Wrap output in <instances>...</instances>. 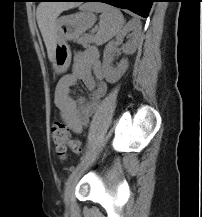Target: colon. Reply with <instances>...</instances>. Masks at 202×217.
<instances>
[{
	"instance_id": "obj_1",
	"label": "colon",
	"mask_w": 202,
	"mask_h": 217,
	"mask_svg": "<svg viewBox=\"0 0 202 217\" xmlns=\"http://www.w3.org/2000/svg\"><path fill=\"white\" fill-rule=\"evenodd\" d=\"M51 136L55 150L60 157L65 156L68 148L76 154L82 153L80 141L69 137L68 126L64 121L57 120L54 122L51 128Z\"/></svg>"
}]
</instances>
